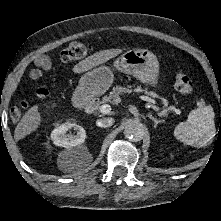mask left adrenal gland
<instances>
[{
    "instance_id": "1",
    "label": "left adrenal gland",
    "mask_w": 221,
    "mask_h": 221,
    "mask_svg": "<svg viewBox=\"0 0 221 221\" xmlns=\"http://www.w3.org/2000/svg\"><path fill=\"white\" fill-rule=\"evenodd\" d=\"M147 116H148L151 120L154 121V128H156L158 124L163 123L162 120L156 119V118L153 117L152 114H150V113H149Z\"/></svg>"
}]
</instances>
